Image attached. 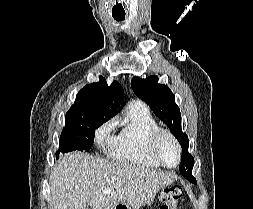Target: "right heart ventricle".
Returning a JSON list of instances; mask_svg holds the SVG:
<instances>
[{
    "label": "right heart ventricle",
    "instance_id": "1",
    "mask_svg": "<svg viewBox=\"0 0 253 209\" xmlns=\"http://www.w3.org/2000/svg\"><path fill=\"white\" fill-rule=\"evenodd\" d=\"M158 128L159 124L145 104L131 102L117 135L109 145L110 154L120 161L158 168L160 165L147 153L148 140Z\"/></svg>",
    "mask_w": 253,
    "mask_h": 209
}]
</instances>
